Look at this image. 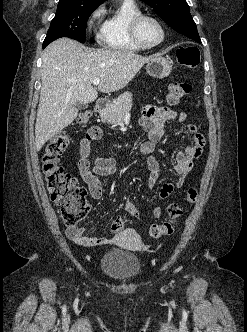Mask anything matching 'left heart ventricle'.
<instances>
[{
  "label": "left heart ventricle",
  "instance_id": "b2bd125f",
  "mask_svg": "<svg viewBox=\"0 0 247 332\" xmlns=\"http://www.w3.org/2000/svg\"><path fill=\"white\" fill-rule=\"evenodd\" d=\"M139 36L143 43L154 44L161 39V30L152 19H144L139 26Z\"/></svg>",
  "mask_w": 247,
  "mask_h": 332
}]
</instances>
